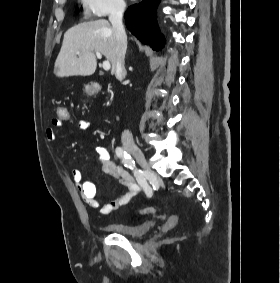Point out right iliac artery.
<instances>
[{
	"mask_svg": "<svg viewBox=\"0 0 280 283\" xmlns=\"http://www.w3.org/2000/svg\"><path fill=\"white\" fill-rule=\"evenodd\" d=\"M115 152L116 155L122 160L124 166L133 171L136 180L142 187L145 188L146 195L150 197V190L147 189L148 185L145 178L143 177L142 171L135 166V162L131 158V156L122 147H117Z\"/></svg>",
	"mask_w": 280,
	"mask_h": 283,
	"instance_id": "right-iliac-artery-1",
	"label": "right iliac artery"
}]
</instances>
